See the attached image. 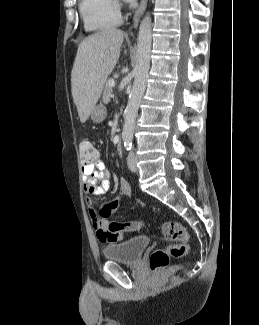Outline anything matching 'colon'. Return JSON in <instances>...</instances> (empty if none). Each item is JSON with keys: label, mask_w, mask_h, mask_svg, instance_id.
Returning <instances> with one entry per match:
<instances>
[{"label": "colon", "mask_w": 259, "mask_h": 325, "mask_svg": "<svg viewBox=\"0 0 259 325\" xmlns=\"http://www.w3.org/2000/svg\"><path fill=\"white\" fill-rule=\"evenodd\" d=\"M96 157V149L88 140H83L79 144L80 162L90 163ZM118 209V201L105 204L100 210V217H108L113 211ZM141 228V223L137 221L112 222L109 231H137ZM162 234L173 243L156 249L150 256L149 263L152 270H158L166 266L171 258L184 256L189 250V234L186 228L176 221H167L162 225Z\"/></svg>", "instance_id": "1"}]
</instances>
